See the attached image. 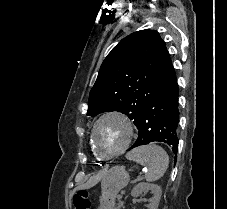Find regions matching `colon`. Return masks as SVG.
Returning <instances> with one entry per match:
<instances>
[{
  "label": "colon",
  "instance_id": "1",
  "mask_svg": "<svg viewBox=\"0 0 227 209\" xmlns=\"http://www.w3.org/2000/svg\"><path fill=\"white\" fill-rule=\"evenodd\" d=\"M73 209H91V200L85 189H80L73 196Z\"/></svg>",
  "mask_w": 227,
  "mask_h": 209
}]
</instances>
